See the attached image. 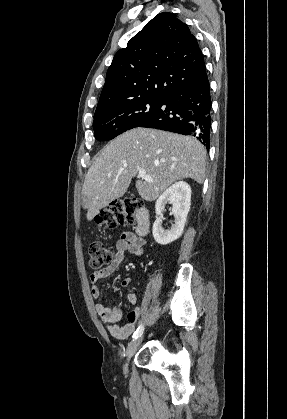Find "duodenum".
Returning <instances> with one entry per match:
<instances>
[{"mask_svg":"<svg viewBox=\"0 0 287 419\" xmlns=\"http://www.w3.org/2000/svg\"><path fill=\"white\" fill-rule=\"evenodd\" d=\"M149 221L147 211L143 208L139 209L136 213V232L140 236H144L148 233Z\"/></svg>","mask_w":287,"mask_h":419,"instance_id":"410a0bca","label":"duodenum"}]
</instances>
